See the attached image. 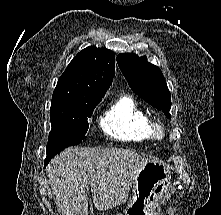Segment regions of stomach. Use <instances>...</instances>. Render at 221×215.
<instances>
[{
	"mask_svg": "<svg viewBox=\"0 0 221 215\" xmlns=\"http://www.w3.org/2000/svg\"><path fill=\"white\" fill-rule=\"evenodd\" d=\"M171 174L161 163H146L132 180L133 198L124 215H154V209L169 191Z\"/></svg>",
	"mask_w": 221,
	"mask_h": 215,
	"instance_id": "0dacf381",
	"label": "stomach"
}]
</instances>
